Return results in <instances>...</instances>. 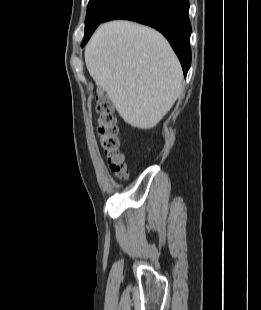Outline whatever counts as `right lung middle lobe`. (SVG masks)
Returning <instances> with one entry per match:
<instances>
[{
	"label": "right lung middle lobe",
	"instance_id": "right-lung-middle-lobe-1",
	"mask_svg": "<svg viewBox=\"0 0 261 310\" xmlns=\"http://www.w3.org/2000/svg\"><path fill=\"white\" fill-rule=\"evenodd\" d=\"M124 1L126 0H90L85 19L84 37L89 31L95 30Z\"/></svg>",
	"mask_w": 261,
	"mask_h": 310
}]
</instances>
